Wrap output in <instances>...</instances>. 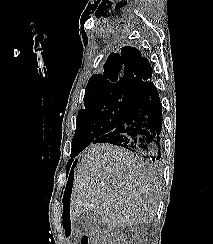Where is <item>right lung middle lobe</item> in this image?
Here are the masks:
<instances>
[{
    "label": "right lung middle lobe",
    "mask_w": 213,
    "mask_h": 244,
    "mask_svg": "<svg viewBox=\"0 0 213 244\" xmlns=\"http://www.w3.org/2000/svg\"><path fill=\"white\" fill-rule=\"evenodd\" d=\"M134 97L130 94H114L85 104V108L78 112L71 158L77 156L98 137L115 129ZM71 164L72 159L67 164V172Z\"/></svg>",
    "instance_id": "1"
}]
</instances>
